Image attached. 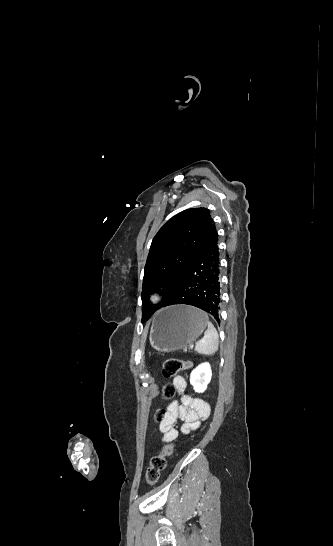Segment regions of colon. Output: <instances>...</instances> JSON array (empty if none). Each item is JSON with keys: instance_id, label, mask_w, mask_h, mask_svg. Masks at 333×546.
Wrapping results in <instances>:
<instances>
[{"instance_id": "1", "label": "colon", "mask_w": 333, "mask_h": 546, "mask_svg": "<svg viewBox=\"0 0 333 546\" xmlns=\"http://www.w3.org/2000/svg\"><path fill=\"white\" fill-rule=\"evenodd\" d=\"M191 363L180 359H167L163 362L161 367V374L164 378H171L177 376L181 371L190 368ZM175 389L173 386L166 384L163 387V396L165 398H171L174 396ZM162 410H158L156 418L162 419ZM174 452V445L166 443L162 450L152 457L150 465L146 471V481L148 484L153 485L158 482L162 471L166 467V459Z\"/></svg>"}]
</instances>
